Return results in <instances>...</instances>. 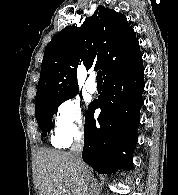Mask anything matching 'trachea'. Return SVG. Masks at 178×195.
Listing matches in <instances>:
<instances>
[{
  "mask_svg": "<svg viewBox=\"0 0 178 195\" xmlns=\"http://www.w3.org/2000/svg\"><path fill=\"white\" fill-rule=\"evenodd\" d=\"M96 80H97V82H102V73H101V71H98L97 72V76H96Z\"/></svg>",
  "mask_w": 178,
  "mask_h": 195,
  "instance_id": "obj_1",
  "label": "trachea"
}]
</instances>
